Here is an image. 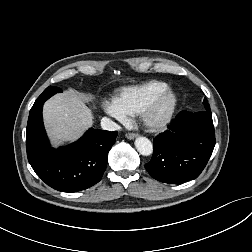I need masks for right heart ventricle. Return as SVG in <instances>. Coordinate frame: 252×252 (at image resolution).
I'll list each match as a JSON object with an SVG mask.
<instances>
[{"mask_svg": "<svg viewBox=\"0 0 252 252\" xmlns=\"http://www.w3.org/2000/svg\"><path fill=\"white\" fill-rule=\"evenodd\" d=\"M166 87L168 84L162 80L125 87L114 97V104L126 116H138L152 97Z\"/></svg>", "mask_w": 252, "mask_h": 252, "instance_id": "e07e8e85", "label": "right heart ventricle"}]
</instances>
